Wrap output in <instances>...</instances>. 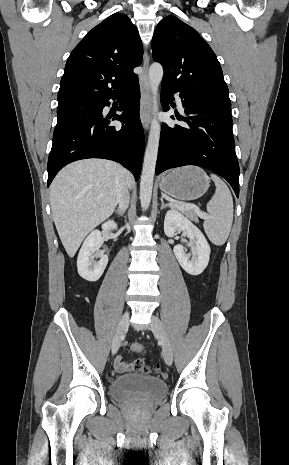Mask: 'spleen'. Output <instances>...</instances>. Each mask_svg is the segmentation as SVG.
<instances>
[{
	"mask_svg": "<svg viewBox=\"0 0 289 465\" xmlns=\"http://www.w3.org/2000/svg\"><path fill=\"white\" fill-rule=\"evenodd\" d=\"M216 191L207 203V214H203V227L209 240L217 246L223 245L233 223V199L227 185L216 175H211Z\"/></svg>",
	"mask_w": 289,
	"mask_h": 465,
	"instance_id": "obj_1",
	"label": "spleen"
}]
</instances>
